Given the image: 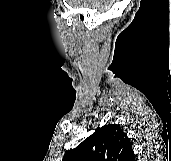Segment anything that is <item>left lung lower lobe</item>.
Returning <instances> with one entry per match:
<instances>
[{"mask_svg":"<svg viewBox=\"0 0 171 161\" xmlns=\"http://www.w3.org/2000/svg\"><path fill=\"white\" fill-rule=\"evenodd\" d=\"M131 161H136L135 156L131 159Z\"/></svg>","mask_w":171,"mask_h":161,"instance_id":"obj_1","label":"left lung lower lobe"}]
</instances>
